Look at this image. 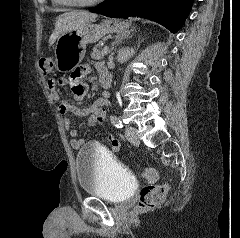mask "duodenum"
<instances>
[{
	"instance_id": "1",
	"label": "duodenum",
	"mask_w": 240,
	"mask_h": 238,
	"mask_svg": "<svg viewBox=\"0 0 240 238\" xmlns=\"http://www.w3.org/2000/svg\"><path fill=\"white\" fill-rule=\"evenodd\" d=\"M100 83H101L102 88H103V94L104 95L108 94V89H109L110 84H111V78H110V76L107 72H102L100 74Z\"/></svg>"
}]
</instances>
